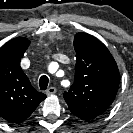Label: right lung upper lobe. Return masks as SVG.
Here are the masks:
<instances>
[{
  "instance_id": "cb5924a9",
  "label": "right lung upper lobe",
  "mask_w": 133,
  "mask_h": 133,
  "mask_svg": "<svg viewBox=\"0 0 133 133\" xmlns=\"http://www.w3.org/2000/svg\"><path fill=\"white\" fill-rule=\"evenodd\" d=\"M30 41L17 37L0 48V116L12 123L26 120L46 95L36 91L20 67Z\"/></svg>"
}]
</instances>
